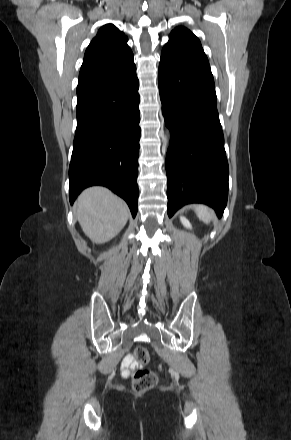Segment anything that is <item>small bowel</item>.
Segmentation results:
<instances>
[{"instance_id":"c3829d8e","label":"small bowel","mask_w":291,"mask_h":440,"mask_svg":"<svg viewBox=\"0 0 291 440\" xmlns=\"http://www.w3.org/2000/svg\"><path fill=\"white\" fill-rule=\"evenodd\" d=\"M138 362L131 354H127L122 360V370L124 373H129L138 367Z\"/></svg>"}]
</instances>
